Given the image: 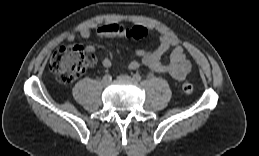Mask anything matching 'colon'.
Listing matches in <instances>:
<instances>
[{"mask_svg": "<svg viewBox=\"0 0 259 156\" xmlns=\"http://www.w3.org/2000/svg\"><path fill=\"white\" fill-rule=\"evenodd\" d=\"M145 35L146 29L140 26L127 30L125 33V37L135 40L142 39ZM90 62L91 58L85 55L80 45H69L60 47L54 52L49 62V68L59 84L68 85L85 71ZM181 88L185 94H191L194 90L193 84L188 81L184 82Z\"/></svg>", "mask_w": 259, "mask_h": 156, "instance_id": "5ec220e1", "label": "colon"}]
</instances>
